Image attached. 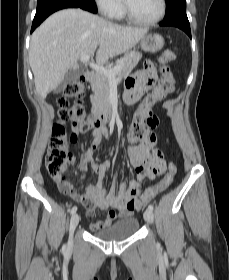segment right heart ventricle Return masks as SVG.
<instances>
[{
  "instance_id": "1",
  "label": "right heart ventricle",
  "mask_w": 229,
  "mask_h": 280,
  "mask_svg": "<svg viewBox=\"0 0 229 280\" xmlns=\"http://www.w3.org/2000/svg\"><path fill=\"white\" fill-rule=\"evenodd\" d=\"M121 17H122V11L120 9L114 18H121Z\"/></svg>"
}]
</instances>
